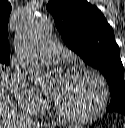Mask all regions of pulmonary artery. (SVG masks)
<instances>
[{"label": "pulmonary artery", "instance_id": "e3ab8cb5", "mask_svg": "<svg viewBox=\"0 0 125 128\" xmlns=\"http://www.w3.org/2000/svg\"><path fill=\"white\" fill-rule=\"evenodd\" d=\"M64 52L65 50L60 44L47 42L39 48L38 55L44 61L55 62L62 58Z\"/></svg>", "mask_w": 125, "mask_h": 128}]
</instances>
